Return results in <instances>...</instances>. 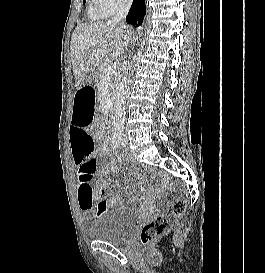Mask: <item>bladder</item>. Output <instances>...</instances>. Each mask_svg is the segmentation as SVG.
<instances>
[{
    "instance_id": "bladder-1",
    "label": "bladder",
    "mask_w": 265,
    "mask_h": 273,
    "mask_svg": "<svg viewBox=\"0 0 265 273\" xmlns=\"http://www.w3.org/2000/svg\"><path fill=\"white\" fill-rule=\"evenodd\" d=\"M138 225V215L128 209H112L100 213L87 229V235L97 241L120 245L132 238Z\"/></svg>"
}]
</instances>
